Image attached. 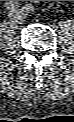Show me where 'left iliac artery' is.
<instances>
[{"instance_id": "44dca946", "label": "left iliac artery", "mask_w": 74, "mask_h": 122, "mask_svg": "<svg viewBox=\"0 0 74 122\" xmlns=\"http://www.w3.org/2000/svg\"><path fill=\"white\" fill-rule=\"evenodd\" d=\"M23 11L26 13V14H29L33 11V7L31 5H26L23 7Z\"/></svg>"}]
</instances>
